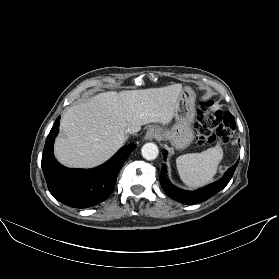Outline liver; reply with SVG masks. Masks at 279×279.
<instances>
[{"mask_svg": "<svg viewBox=\"0 0 279 279\" xmlns=\"http://www.w3.org/2000/svg\"><path fill=\"white\" fill-rule=\"evenodd\" d=\"M181 84L143 90L107 91L72 106L60 126L65 136L54 144L57 160L71 168H93L113 156L128 129L169 124L179 105Z\"/></svg>", "mask_w": 279, "mask_h": 279, "instance_id": "1", "label": "liver"}]
</instances>
